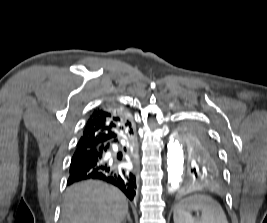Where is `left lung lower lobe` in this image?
<instances>
[{
    "label": "left lung lower lobe",
    "instance_id": "1",
    "mask_svg": "<svg viewBox=\"0 0 267 223\" xmlns=\"http://www.w3.org/2000/svg\"><path fill=\"white\" fill-rule=\"evenodd\" d=\"M183 176L193 177L188 179L187 189H224L225 187V182H222L225 171H183Z\"/></svg>",
    "mask_w": 267,
    "mask_h": 223
}]
</instances>
